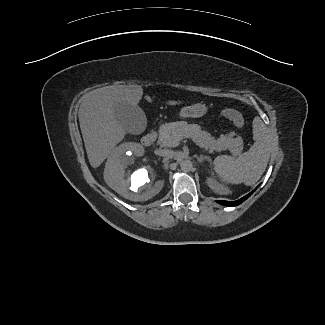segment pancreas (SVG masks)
Returning <instances> with one entry per match:
<instances>
[{
  "label": "pancreas",
  "instance_id": "cf45deb5",
  "mask_svg": "<svg viewBox=\"0 0 325 325\" xmlns=\"http://www.w3.org/2000/svg\"><path fill=\"white\" fill-rule=\"evenodd\" d=\"M235 132L221 135L218 139L201 129L197 124H188L185 121L164 124L159 129L158 144L162 147H176L182 137L191 138L200 147L214 151L229 150L232 155L238 156L243 149V140Z\"/></svg>",
  "mask_w": 325,
  "mask_h": 325
}]
</instances>
